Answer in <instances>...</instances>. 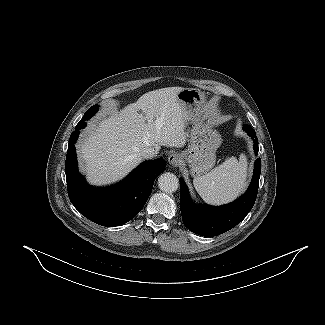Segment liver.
Segmentation results:
<instances>
[{
    "label": "liver",
    "mask_w": 325,
    "mask_h": 325,
    "mask_svg": "<svg viewBox=\"0 0 325 325\" xmlns=\"http://www.w3.org/2000/svg\"><path fill=\"white\" fill-rule=\"evenodd\" d=\"M184 88L167 87L143 94L135 103L112 109L107 118L92 124L79 145L87 179L94 185L113 184L141 162L140 152L161 146L183 147L189 116L178 101Z\"/></svg>",
    "instance_id": "6515ba94"
}]
</instances>
